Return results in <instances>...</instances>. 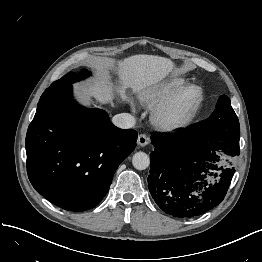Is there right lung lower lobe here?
<instances>
[{"instance_id": "1", "label": "right lung lower lobe", "mask_w": 262, "mask_h": 262, "mask_svg": "<svg viewBox=\"0 0 262 262\" xmlns=\"http://www.w3.org/2000/svg\"><path fill=\"white\" fill-rule=\"evenodd\" d=\"M137 136L135 130L115 127L105 111L75 103L72 85L49 87L26 135L29 180L60 208L91 209L107 194Z\"/></svg>"}]
</instances>
